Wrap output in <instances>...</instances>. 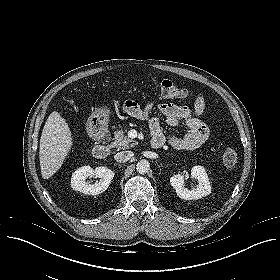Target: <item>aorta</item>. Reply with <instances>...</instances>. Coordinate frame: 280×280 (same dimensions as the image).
Segmentation results:
<instances>
[{"label":"aorta","instance_id":"1","mask_svg":"<svg viewBox=\"0 0 280 280\" xmlns=\"http://www.w3.org/2000/svg\"><path fill=\"white\" fill-rule=\"evenodd\" d=\"M149 169H150V163L146 159H142V160L138 161V163L136 165V170L140 174L147 173L149 171Z\"/></svg>","mask_w":280,"mask_h":280}]
</instances>
